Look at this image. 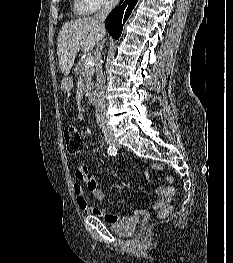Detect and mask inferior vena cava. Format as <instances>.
Instances as JSON below:
<instances>
[{
  "label": "inferior vena cava",
  "instance_id": "1",
  "mask_svg": "<svg viewBox=\"0 0 233 263\" xmlns=\"http://www.w3.org/2000/svg\"><path fill=\"white\" fill-rule=\"evenodd\" d=\"M118 0H106L105 3L102 5L101 9L94 15L92 18L93 22L95 23L96 27L99 29L101 34V39H103L105 35V28H104V21L111 10L116 6ZM103 41L101 43H97L96 48V60L98 63L97 66V79H96V89H95V96H96V118L97 121L102 128L103 131H110L111 127L109 126L105 111H106V104H105V77L102 71L101 64L99 60L101 58V52L103 49Z\"/></svg>",
  "mask_w": 233,
  "mask_h": 263
}]
</instances>
